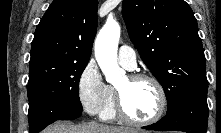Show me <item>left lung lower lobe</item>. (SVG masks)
<instances>
[{
	"instance_id": "obj_1",
	"label": "left lung lower lobe",
	"mask_w": 221,
	"mask_h": 133,
	"mask_svg": "<svg viewBox=\"0 0 221 133\" xmlns=\"http://www.w3.org/2000/svg\"><path fill=\"white\" fill-rule=\"evenodd\" d=\"M208 113L207 93H197L185 98L157 123L142 128L157 131L173 130L186 133H206Z\"/></svg>"
}]
</instances>
